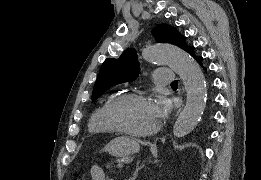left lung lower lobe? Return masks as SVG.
I'll return each mask as SVG.
<instances>
[{
    "label": "left lung lower lobe",
    "mask_w": 261,
    "mask_h": 180,
    "mask_svg": "<svg viewBox=\"0 0 261 180\" xmlns=\"http://www.w3.org/2000/svg\"><path fill=\"white\" fill-rule=\"evenodd\" d=\"M188 53H190L197 61L200 65H202V57H198L194 54V47H190L188 50H187Z\"/></svg>",
    "instance_id": "obj_1"
}]
</instances>
